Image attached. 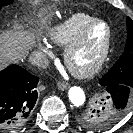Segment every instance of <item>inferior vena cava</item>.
<instances>
[{"mask_svg": "<svg viewBox=\"0 0 133 133\" xmlns=\"http://www.w3.org/2000/svg\"><path fill=\"white\" fill-rule=\"evenodd\" d=\"M33 65L46 69L49 65L47 56L42 52H33L29 58Z\"/></svg>", "mask_w": 133, "mask_h": 133, "instance_id": "obj_1", "label": "inferior vena cava"}]
</instances>
